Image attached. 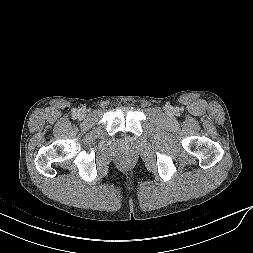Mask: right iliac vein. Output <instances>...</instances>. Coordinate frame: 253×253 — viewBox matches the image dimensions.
I'll return each instance as SVG.
<instances>
[{
    "instance_id": "right-iliac-vein-1",
    "label": "right iliac vein",
    "mask_w": 253,
    "mask_h": 253,
    "mask_svg": "<svg viewBox=\"0 0 253 253\" xmlns=\"http://www.w3.org/2000/svg\"><path fill=\"white\" fill-rule=\"evenodd\" d=\"M77 116H78L79 118H83V117L85 116V111H84V110H78Z\"/></svg>"
}]
</instances>
